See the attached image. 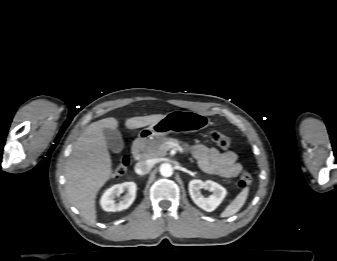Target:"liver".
Returning <instances> with one entry per match:
<instances>
[{
	"label": "liver",
	"instance_id": "6515ba94",
	"mask_svg": "<svg viewBox=\"0 0 337 261\" xmlns=\"http://www.w3.org/2000/svg\"><path fill=\"white\" fill-rule=\"evenodd\" d=\"M164 115L156 114L129 118L128 129L151 125ZM117 119L110 117L91 123L75 142L68 158L65 177L66 194L70 203L91 224L96 223V196L112 176V160L104 137V129L116 130Z\"/></svg>",
	"mask_w": 337,
	"mask_h": 261
}]
</instances>
